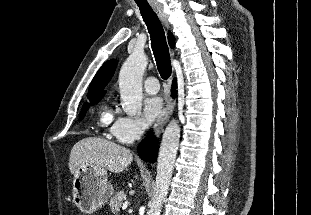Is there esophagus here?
Here are the masks:
<instances>
[{
	"mask_svg": "<svg viewBox=\"0 0 311 215\" xmlns=\"http://www.w3.org/2000/svg\"><path fill=\"white\" fill-rule=\"evenodd\" d=\"M154 10L157 13V15L159 16L162 23L165 25V27L169 28L168 14L165 12L163 7L161 5H157L154 7ZM174 107H175V102L172 98H170L167 101V104H166L161 116L158 118V120L154 126V131H155L156 135H159L161 133L164 125L166 124V122L170 118L171 114L173 113Z\"/></svg>",
	"mask_w": 311,
	"mask_h": 215,
	"instance_id": "obj_1",
	"label": "esophagus"
}]
</instances>
